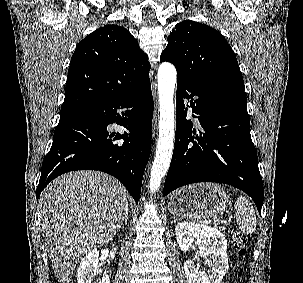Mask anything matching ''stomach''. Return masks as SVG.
Masks as SVG:
<instances>
[{
    "label": "stomach",
    "instance_id": "obj_1",
    "mask_svg": "<svg viewBox=\"0 0 303 283\" xmlns=\"http://www.w3.org/2000/svg\"><path fill=\"white\" fill-rule=\"evenodd\" d=\"M228 202L229 197L219 184L199 183L173 192L168 207L177 216L203 219L222 214Z\"/></svg>",
    "mask_w": 303,
    "mask_h": 283
}]
</instances>
